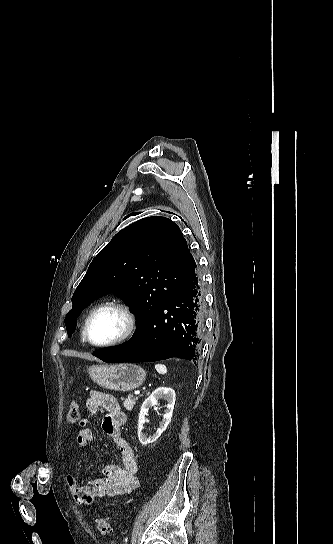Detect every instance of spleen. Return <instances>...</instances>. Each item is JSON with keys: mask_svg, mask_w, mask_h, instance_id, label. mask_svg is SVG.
Instances as JSON below:
<instances>
[{"mask_svg": "<svg viewBox=\"0 0 333 544\" xmlns=\"http://www.w3.org/2000/svg\"><path fill=\"white\" fill-rule=\"evenodd\" d=\"M155 369L159 374H166L167 373V368L163 364H156Z\"/></svg>", "mask_w": 333, "mask_h": 544, "instance_id": "obj_1", "label": "spleen"}]
</instances>
